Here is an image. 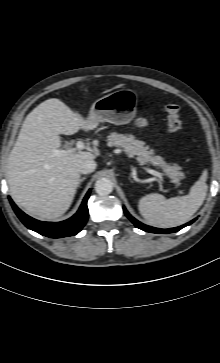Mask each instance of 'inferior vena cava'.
<instances>
[{"mask_svg":"<svg viewBox=\"0 0 220 363\" xmlns=\"http://www.w3.org/2000/svg\"><path fill=\"white\" fill-rule=\"evenodd\" d=\"M96 162L93 160H85L79 166V171L82 174H89L96 169Z\"/></svg>","mask_w":220,"mask_h":363,"instance_id":"inferior-vena-cava-1","label":"inferior vena cava"}]
</instances>
